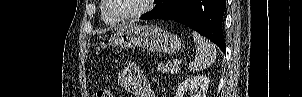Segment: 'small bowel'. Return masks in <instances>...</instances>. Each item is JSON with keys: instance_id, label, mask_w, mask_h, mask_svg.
Returning <instances> with one entry per match:
<instances>
[{"instance_id": "1", "label": "small bowel", "mask_w": 302, "mask_h": 97, "mask_svg": "<svg viewBox=\"0 0 302 97\" xmlns=\"http://www.w3.org/2000/svg\"><path fill=\"white\" fill-rule=\"evenodd\" d=\"M118 81L124 90L136 97H152L147 79L134 65L125 64L120 71Z\"/></svg>"}]
</instances>
